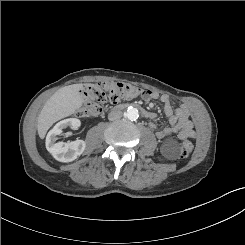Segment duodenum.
<instances>
[{
	"label": "duodenum",
	"instance_id": "obj_1",
	"mask_svg": "<svg viewBox=\"0 0 245 245\" xmlns=\"http://www.w3.org/2000/svg\"><path fill=\"white\" fill-rule=\"evenodd\" d=\"M132 106L135 107V108H137V109H139V110L141 111V113H142L145 117L151 118L152 113L149 112L148 110H146L143 106H141V105H139V104H132ZM124 107H126V105H120V106H118V108H124Z\"/></svg>",
	"mask_w": 245,
	"mask_h": 245
}]
</instances>
